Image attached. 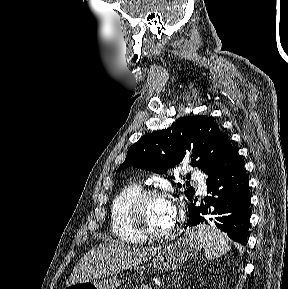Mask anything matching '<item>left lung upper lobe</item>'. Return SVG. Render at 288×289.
<instances>
[{
	"label": "left lung upper lobe",
	"mask_w": 288,
	"mask_h": 289,
	"mask_svg": "<svg viewBox=\"0 0 288 289\" xmlns=\"http://www.w3.org/2000/svg\"><path fill=\"white\" fill-rule=\"evenodd\" d=\"M229 138L219 125L208 116L179 118L171 128L146 134L133 144L117 172L129 166L163 174L192 152L191 165L208 173L219 160ZM181 187V184H177ZM195 189L189 187L184 194L192 200Z\"/></svg>",
	"instance_id": "left-lung-upper-lobe-1"
}]
</instances>
